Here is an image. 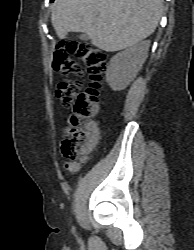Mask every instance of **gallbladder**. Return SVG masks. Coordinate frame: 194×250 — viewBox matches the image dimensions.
Wrapping results in <instances>:
<instances>
[{
    "label": "gallbladder",
    "mask_w": 194,
    "mask_h": 250,
    "mask_svg": "<svg viewBox=\"0 0 194 250\" xmlns=\"http://www.w3.org/2000/svg\"><path fill=\"white\" fill-rule=\"evenodd\" d=\"M79 38H80L81 40H88V39H89V36H88L87 34H81V35H79Z\"/></svg>",
    "instance_id": "gallbladder-1"
}]
</instances>
